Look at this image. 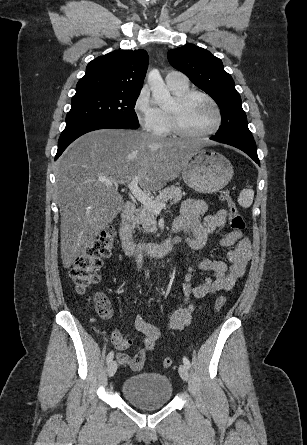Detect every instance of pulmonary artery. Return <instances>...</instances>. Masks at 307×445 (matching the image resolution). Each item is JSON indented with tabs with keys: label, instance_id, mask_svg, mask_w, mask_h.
Wrapping results in <instances>:
<instances>
[{
	"label": "pulmonary artery",
	"instance_id": "pulmonary-artery-1",
	"mask_svg": "<svg viewBox=\"0 0 307 445\" xmlns=\"http://www.w3.org/2000/svg\"><path fill=\"white\" fill-rule=\"evenodd\" d=\"M183 78V73L179 69H170L166 76L168 84L187 85L188 81Z\"/></svg>",
	"mask_w": 307,
	"mask_h": 445
}]
</instances>
